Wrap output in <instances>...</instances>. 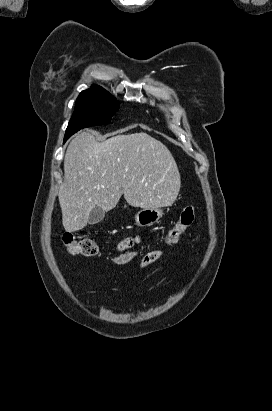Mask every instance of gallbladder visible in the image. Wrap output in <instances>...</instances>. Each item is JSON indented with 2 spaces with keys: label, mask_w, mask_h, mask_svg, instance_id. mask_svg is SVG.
<instances>
[{
  "label": "gallbladder",
  "mask_w": 272,
  "mask_h": 411,
  "mask_svg": "<svg viewBox=\"0 0 272 411\" xmlns=\"http://www.w3.org/2000/svg\"><path fill=\"white\" fill-rule=\"evenodd\" d=\"M104 217H105V211L102 208L95 206L89 214L88 223L90 225H95L101 222L104 219Z\"/></svg>",
  "instance_id": "obj_1"
}]
</instances>
